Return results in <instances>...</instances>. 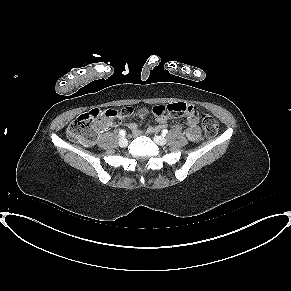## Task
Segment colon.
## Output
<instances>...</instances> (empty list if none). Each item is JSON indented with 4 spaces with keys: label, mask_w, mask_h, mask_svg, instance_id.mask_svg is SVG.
Masks as SVG:
<instances>
[{
    "label": "colon",
    "mask_w": 291,
    "mask_h": 291,
    "mask_svg": "<svg viewBox=\"0 0 291 291\" xmlns=\"http://www.w3.org/2000/svg\"><path fill=\"white\" fill-rule=\"evenodd\" d=\"M196 108L193 105L186 103H174L167 106H156L153 108L152 113L156 117L167 116H181L184 114L196 113ZM145 111L140 109L135 111L131 107H126L121 111L108 109L100 110L98 108L92 109L86 113H83L75 120H73L68 126V137L72 141H79L85 144H92L95 142L97 133L99 130V124L103 118H131L134 116L142 117ZM201 124L203 131L207 137H213L218 132L217 121L209 114H203L201 116Z\"/></svg>",
    "instance_id": "1"
}]
</instances>
